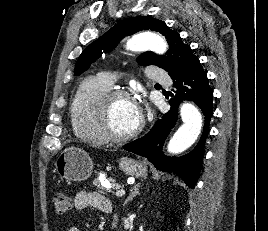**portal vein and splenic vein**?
Here are the masks:
<instances>
[{
	"mask_svg": "<svg viewBox=\"0 0 268 231\" xmlns=\"http://www.w3.org/2000/svg\"><path fill=\"white\" fill-rule=\"evenodd\" d=\"M115 195H116L117 197H122L123 195H125V190H123V189H118V190H116Z\"/></svg>",
	"mask_w": 268,
	"mask_h": 231,
	"instance_id": "18ae733b",
	"label": "portal vein and splenic vein"
}]
</instances>
